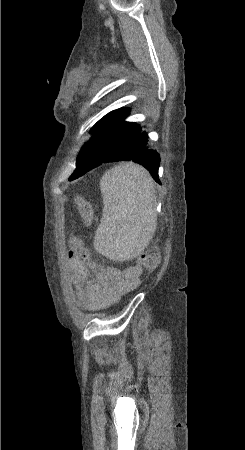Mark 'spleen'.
Returning <instances> with one entry per match:
<instances>
[{
    "instance_id": "1",
    "label": "spleen",
    "mask_w": 245,
    "mask_h": 450,
    "mask_svg": "<svg viewBox=\"0 0 245 450\" xmlns=\"http://www.w3.org/2000/svg\"><path fill=\"white\" fill-rule=\"evenodd\" d=\"M103 214L95 232L94 248L114 261L136 258L156 229L155 190L148 171L124 163L100 180Z\"/></svg>"
}]
</instances>
